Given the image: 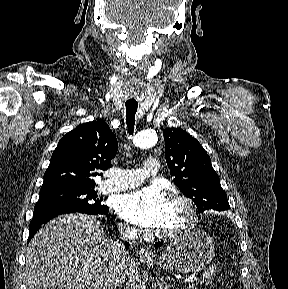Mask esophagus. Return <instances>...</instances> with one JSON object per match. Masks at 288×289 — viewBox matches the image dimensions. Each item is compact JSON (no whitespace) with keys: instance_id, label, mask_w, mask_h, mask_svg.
<instances>
[{"instance_id":"34e87169","label":"esophagus","mask_w":288,"mask_h":289,"mask_svg":"<svg viewBox=\"0 0 288 289\" xmlns=\"http://www.w3.org/2000/svg\"><path fill=\"white\" fill-rule=\"evenodd\" d=\"M136 255L142 261L151 260L153 258V254L143 247L137 250Z\"/></svg>"}]
</instances>
